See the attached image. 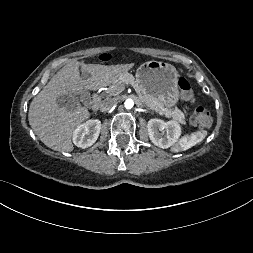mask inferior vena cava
Segmentation results:
<instances>
[{"label":"inferior vena cava","instance_id":"inferior-vena-cava-1","mask_svg":"<svg viewBox=\"0 0 253 253\" xmlns=\"http://www.w3.org/2000/svg\"><path fill=\"white\" fill-rule=\"evenodd\" d=\"M117 103L116 99H105L101 104H100V111L101 112H108L111 110L115 104Z\"/></svg>","mask_w":253,"mask_h":253}]
</instances>
